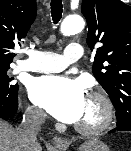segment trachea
Listing matches in <instances>:
<instances>
[{
    "instance_id": "1",
    "label": "trachea",
    "mask_w": 131,
    "mask_h": 151,
    "mask_svg": "<svg viewBox=\"0 0 131 151\" xmlns=\"http://www.w3.org/2000/svg\"><path fill=\"white\" fill-rule=\"evenodd\" d=\"M63 12L62 0H51V14L54 24H57Z\"/></svg>"
}]
</instances>
